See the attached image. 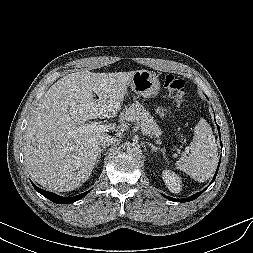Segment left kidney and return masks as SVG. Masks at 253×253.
<instances>
[{"instance_id":"obj_1","label":"left kidney","mask_w":253,"mask_h":253,"mask_svg":"<svg viewBox=\"0 0 253 253\" xmlns=\"http://www.w3.org/2000/svg\"><path fill=\"white\" fill-rule=\"evenodd\" d=\"M162 179L171 192L179 193L181 191V179L174 172L163 170Z\"/></svg>"}]
</instances>
